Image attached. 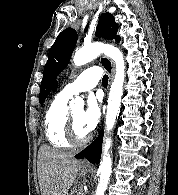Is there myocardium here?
Instances as JSON below:
<instances>
[{
  "instance_id": "f54148a6",
  "label": "myocardium",
  "mask_w": 178,
  "mask_h": 195,
  "mask_svg": "<svg viewBox=\"0 0 178 195\" xmlns=\"http://www.w3.org/2000/svg\"><path fill=\"white\" fill-rule=\"evenodd\" d=\"M65 137L67 141L70 143V145L73 147H82L86 145L90 140V137L88 135L83 139H79L76 136L73 117L72 114L69 112L66 121Z\"/></svg>"
}]
</instances>
